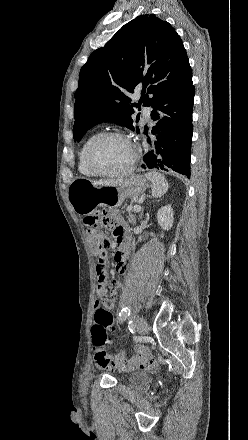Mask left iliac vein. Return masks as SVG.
Masks as SVG:
<instances>
[{"label": "left iliac vein", "mask_w": 248, "mask_h": 440, "mask_svg": "<svg viewBox=\"0 0 248 440\" xmlns=\"http://www.w3.org/2000/svg\"><path fill=\"white\" fill-rule=\"evenodd\" d=\"M136 328L139 333L145 334L148 331V323L147 320L143 317H139L136 320Z\"/></svg>", "instance_id": "4c4485c4"}]
</instances>
